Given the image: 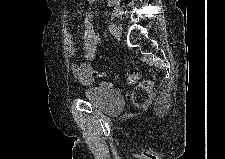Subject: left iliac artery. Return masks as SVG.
Wrapping results in <instances>:
<instances>
[{"instance_id": "1", "label": "left iliac artery", "mask_w": 225, "mask_h": 159, "mask_svg": "<svg viewBox=\"0 0 225 159\" xmlns=\"http://www.w3.org/2000/svg\"><path fill=\"white\" fill-rule=\"evenodd\" d=\"M114 27H115V24L113 23L109 24L108 26L109 31L112 32L114 30Z\"/></svg>"}]
</instances>
